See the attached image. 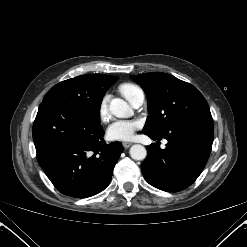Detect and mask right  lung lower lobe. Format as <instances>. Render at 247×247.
<instances>
[{
  "label": "right lung lower lobe",
  "instance_id": "98d812e1",
  "mask_svg": "<svg viewBox=\"0 0 247 247\" xmlns=\"http://www.w3.org/2000/svg\"><path fill=\"white\" fill-rule=\"evenodd\" d=\"M32 133L38 163L62 194L86 198L109 185L123 147L105 143L100 118L49 102L40 104Z\"/></svg>",
  "mask_w": 247,
  "mask_h": 247
}]
</instances>
